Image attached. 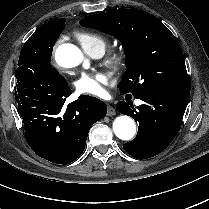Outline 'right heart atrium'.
Masks as SVG:
<instances>
[{
  "label": "right heart atrium",
  "instance_id": "1",
  "mask_svg": "<svg viewBox=\"0 0 209 209\" xmlns=\"http://www.w3.org/2000/svg\"><path fill=\"white\" fill-rule=\"evenodd\" d=\"M55 48H56V45L53 47V49H52V51H53V53H54V51H55Z\"/></svg>",
  "mask_w": 209,
  "mask_h": 209
}]
</instances>
